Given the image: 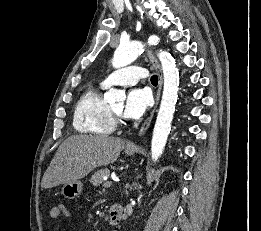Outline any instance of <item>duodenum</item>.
I'll use <instances>...</instances> for the list:
<instances>
[{
  "instance_id": "duodenum-1",
  "label": "duodenum",
  "mask_w": 261,
  "mask_h": 231,
  "mask_svg": "<svg viewBox=\"0 0 261 231\" xmlns=\"http://www.w3.org/2000/svg\"><path fill=\"white\" fill-rule=\"evenodd\" d=\"M124 217V208L120 203L111 204L109 207V219L113 224L119 223Z\"/></svg>"
}]
</instances>
